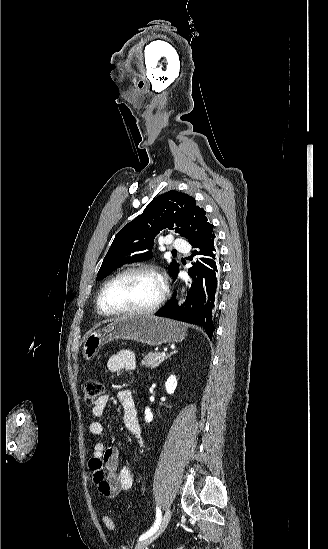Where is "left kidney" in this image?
<instances>
[{
    "instance_id": "5707ae66",
    "label": "left kidney",
    "mask_w": 328,
    "mask_h": 549,
    "mask_svg": "<svg viewBox=\"0 0 328 549\" xmlns=\"http://www.w3.org/2000/svg\"><path fill=\"white\" fill-rule=\"evenodd\" d=\"M177 387V379L175 375H170L169 379H167L165 383V389L168 393V395H173L175 389ZM153 419V415L151 413V409L149 407H146L145 409V421L146 423H151Z\"/></svg>"
}]
</instances>
